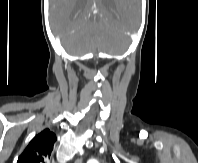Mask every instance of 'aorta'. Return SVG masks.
<instances>
[{"instance_id": "obj_1", "label": "aorta", "mask_w": 198, "mask_h": 163, "mask_svg": "<svg viewBox=\"0 0 198 163\" xmlns=\"http://www.w3.org/2000/svg\"><path fill=\"white\" fill-rule=\"evenodd\" d=\"M89 163H98V162L95 160H91V161H89Z\"/></svg>"}]
</instances>
